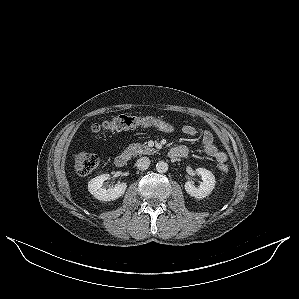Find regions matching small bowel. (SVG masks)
Segmentation results:
<instances>
[{"instance_id": "1", "label": "small bowel", "mask_w": 299, "mask_h": 299, "mask_svg": "<svg viewBox=\"0 0 299 299\" xmlns=\"http://www.w3.org/2000/svg\"><path fill=\"white\" fill-rule=\"evenodd\" d=\"M182 132L187 136H195L197 134L196 128L192 125H184L182 128ZM202 145L206 154L214 158L219 164H222L227 160V155L223 151L219 150L214 144V138L211 132H203Z\"/></svg>"}]
</instances>
